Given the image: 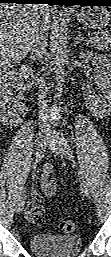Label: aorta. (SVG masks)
Returning a JSON list of instances; mask_svg holds the SVG:
<instances>
[{
	"mask_svg": "<svg viewBox=\"0 0 111 257\" xmlns=\"http://www.w3.org/2000/svg\"><path fill=\"white\" fill-rule=\"evenodd\" d=\"M58 39V47L56 51V82H57V89L62 90L64 84V63L67 57L66 52V37L65 34L61 31L57 35Z\"/></svg>",
	"mask_w": 111,
	"mask_h": 257,
	"instance_id": "aorta-1",
	"label": "aorta"
}]
</instances>
